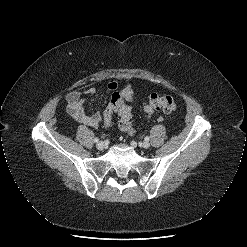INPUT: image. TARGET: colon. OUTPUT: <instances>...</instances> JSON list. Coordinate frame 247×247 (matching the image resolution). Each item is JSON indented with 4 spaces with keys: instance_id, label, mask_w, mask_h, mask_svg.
Masks as SVG:
<instances>
[{
    "instance_id": "1",
    "label": "colon",
    "mask_w": 247,
    "mask_h": 247,
    "mask_svg": "<svg viewBox=\"0 0 247 247\" xmlns=\"http://www.w3.org/2000/svg\"><path fill=\"white\" fill-rule=\"evenodd\" d=\"M177 104L171 96L159 95L153 93L149 97V101L145 106V111L148 116H151L155 111H163L164 113H172L176 111ZM114 114L119 116L118 126L121 131L128 135H133L134 130L131 126L132 109L126 104L119 91L113 92L111 100L104 111V125L108 127Z\"/></svg>"
}]
</instances>
